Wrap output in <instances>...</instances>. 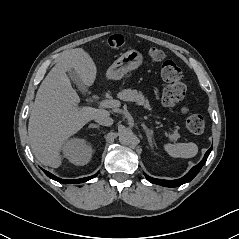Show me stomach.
I'll list each match as a JSON object with an SVG mask.
<instances>
[{
	"instance_id": "0dacf381",
	"label": "stomach",
	"mask_w": 239,
	"mask_h": 239,
	"mask_svg": "<svg viewBox=\"0 0 239 239\" xmlns=\"http://www.w3.org/2000/svg\"><path fill=\"white\" fill-rule=\"evenodd\" d=\"M143 62V55L137 50H129L108 68L106 77L112 80L121 79L126 73L138 68Z\"/></svg>"
}]
</instances>
